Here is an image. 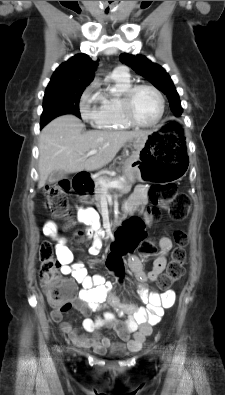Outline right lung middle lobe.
Listing matches in <instances>:
<instances>
[{
  "mask_svg": "<svg viewBox=\"0 0 225 395\" xmlns=\"http://www.w3.org/2000/svg\"><path fill=\"white\" fill-rule=\"evenodd\" d=\"M86 86H51L47 87L43 99V113L40 127L63 114H74L80 118L79 99Z\"/></svg>",
  "mask_w": 225,
  "mask_h": 395,
  "instance_id": "right-lung-middle-lobe-1",
  "label": "right lung middle lobe"
}]
</instances>
